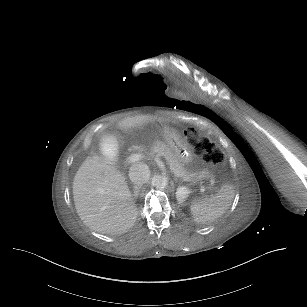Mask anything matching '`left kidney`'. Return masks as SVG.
<instances>
[{
	"label": "left kidney",
	"instance_id": "obj_1",
	"mask_svg": "<svg viewBox=\"0 0 307 307\" xmlns=\"http://www.w3.org/2000/svg\"><path fill=\"white\" fill-rule=\"evenodd\" d=\"M191 191L185 186H179L176 191V197L179 202H183Z\"/></svg>",
	"mask_w": 307,
	"mask_h": 307
}]
</instances>
